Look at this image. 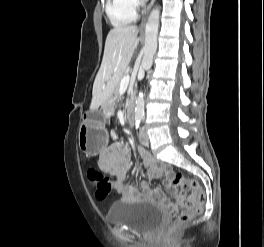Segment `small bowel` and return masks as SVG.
<instances>
[{"instance_id": "small-bowel-1", "label": "small bowel", "mask_w": 264, "mask_h": 247, "mask_svg": "<svg viewBox=\"0 0 264 247\" xmlns=\"http://www.w3.org/2000/svg\"><path fill=\"white\" fill-rule=\"evenodd\" d=\"M112 136L114 139L117 138L115 133H112ZM138 151L148 169V174L153 178L162 179L167 193L172 197L180 199L182 195L177 194L170 186V178L173 174L170 166L156 160L144 149H139ZM98 165L102 171L114 176L115 179L112 183L113 189L124 200L140 197L155 199L159 202L166 200L164 193L160 189H153L146 182L141 183V191L133 185L125 184L126 175L130 167V153L124 143L115 140L110 146L104 149L99 155Z\"/></svg>"}]
</instances>
